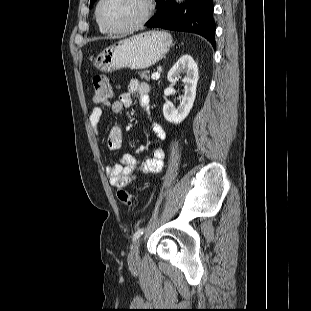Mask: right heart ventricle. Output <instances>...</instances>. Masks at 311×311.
<instances>
[{"label": "right heart ventricle", "mask_w": 311, "mask_h": 311, "mask_svg": "<svg viewBox=\"0 0 311 311\" xmlns=\"http://www.w3.org/2000/svg\"><path fill=\"white\" fill-rule=\"evenodd\" d=\"M98 28H99L100 33H102V34L107 33V31L104 28H102L99 24H98Z\"/></svg>", "instance_id": "obj_1"}]
</instances>
